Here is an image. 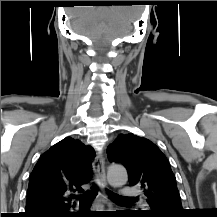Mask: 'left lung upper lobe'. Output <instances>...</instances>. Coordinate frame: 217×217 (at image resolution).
<instances>
[{
  "label": "left lung upper lobe",
  "instance_id": "5c2ea615",
  "mask_svg": "<svg viewBox=\"0 0 217 217\" xmlns=\"http://www.w3.org/2000/svg\"><path fill=\"white\" fill-rule=\"evenodd\" d=\"M109 161L123 164L131 185L144 189L153 217H179L183 213L176 178L161 150L150 140L132 133L120 134L108 147Z\"/></svg>",
  "mask_w": 217,
  "mask_h": 217
}]
</instances>
